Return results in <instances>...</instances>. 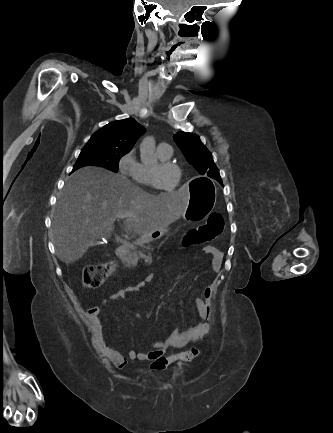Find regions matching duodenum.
<instances>
[{
	"label": "duodenum",
	"mask_w": 333,
	"mask_h": 433,
	"mask_svg": "<svg viewBox=\"0 0 333 433\" xmlns=\"http://www.w3.org/2000/svg\"><path fill=\"white\" fill-rule=\"evenodd\" d=\"M143 242H152V237H137L136 241H133L130 245V241H124V244H120V247H116V252H118L117 257L122 258L120 261L125 263L123 266L125 268L136 267L137 258H132L134 255L132 253H128L126 250L129 248L137 249L140 245L142 246ZM139 245V246H138ZM124 253V254H123ZM124 257V258H123ZM127 257V258H125ZM128 263V264H127ZM134 263V264H132Z\"/></svg>",
	"instance_id": "duodenum-1"
}]
</instances>
